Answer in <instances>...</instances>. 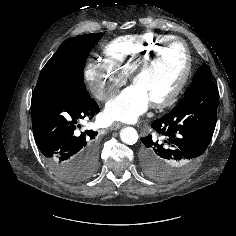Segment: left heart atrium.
<instances>
[{
	"label": "left heart atrium",
	"instance_id": "left-heart-atrium-1",
	"mask_svg": "<svg viewBox=\"0 0 236 236\" xmlns=\"http://www.w3.org/2000/svg\"><path fill=\"white\" fill-rule=\"evenodd\" d=\"M149 104L145 92L133 84L107 102L103 119L106 122H133L145 112Z\"/></svg>",
	"mask_w": 236,
	"mask_h": 236
}]
</instances>
